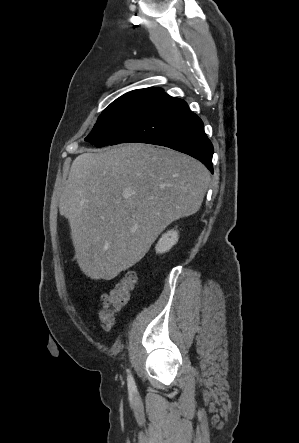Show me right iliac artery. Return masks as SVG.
Listing matches in <instances>:
<instances>
[{
	"mask_svg": "<svg viewBox=\"0 0 299 443\" xmlns=\"http://www.w3.org/2000/svg\"><path fill=\"white\" fill-rule=\"evenodd\" d=\"M127 380H128L129 389L134 390L135 389V382H134V379L131 374L128 375Z\"/></svg>",
	"mask_w": 299,
	"mask_h": 443,
	"instance_id": "obj_1",
	"label": "right iliac artery"
}]
</instances>
